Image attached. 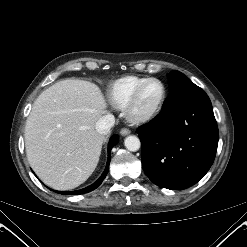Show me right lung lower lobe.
Returning a JSON list of instances; mask_svg holds the SVG:
<instances>
[{"mask_svg": "<svg viewBox=\"0 0 247 247\" xmlns=\"http://www.w3.org/2000/svg\"><path fill=\"white\" fill-rule=\"evenodd\" d=\"M118 141H119V137L117 135H114V136L111 137V139L109 141V146H108V160H107L106 168H105L103 174L101 175V177L95 183H93L89 187H86L84 189L77 190V191H72V192L55 191V192L60 193V194H73V195H76V194L87 193V192H90V191H93L94 189H96L102 183V181L105 179V177H106V175L108 173L109 163H110V159H111V156H110L111 149L118 143Z\"/></svg>", "mask_w": 247, "mask_h": 247, "instance_id": "98d812e1", "label": "right lung lower lobe"}]
</instances>
